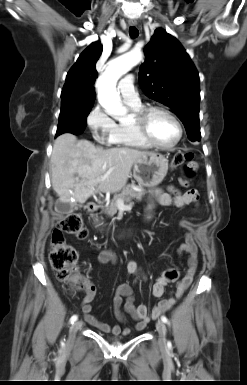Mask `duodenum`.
<instances>
[{
	"mask_svg": "<svg viewBox=\"0 0 247 385\" xmlns=\"http://www.w3.org/2000/svg\"><path fill=\"white\" fill-rule=\"evenodd\" d=\"M86 211L91 217H97L100 214L101 207L98 203L91 202L87 205Z\"/></svg>",
	"mask_w": 247,
	"mask_h": 385,
	"instance_id": "obj_1",
	"label": "duodenum"
}]
</instances>
